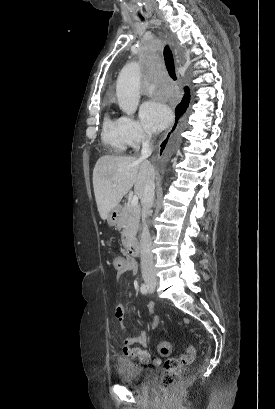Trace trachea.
Masks as SVG:
<instances>
[{
  "label": "trachea",
  "mask_w": 275,
  "mask_h": 409,
  "mask_svg": "<svg viewBox=\"0 0 275 409\" xmlns=\"http://www.w3.org/2000/svg\"><path fill=\"white\" fill-rule=\"evenodd\" d=\"M164 60H165L166 68H167V71L170 77L173 78V80H176L177 77L175 74V64L173 60V54L170 48L168 47V45H166L164 48Z\"/></svg>",
  "instance_id": "3493384b"
}]
</instances>
